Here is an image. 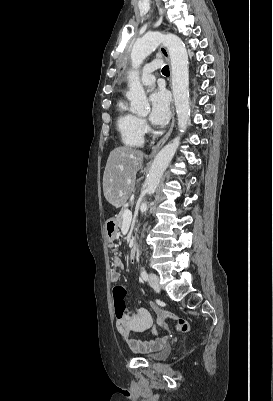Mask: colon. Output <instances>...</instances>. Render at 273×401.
<instances>
[{"label":"colon","instance_id":"obj_1","mask_svg":"<svg viewBox=\"0 0 273 401\" xmlns=\"http://www.w3.org/2000/svg\"><path fill=\"white\" fill-rule=\"evenodd\" d=\"M125 286L123 285H115L113 286V309L114 316L119 323H124L127 311L125 305Z\"/></svg>","mask_w":273,"mask_h":401}]
</instances>
